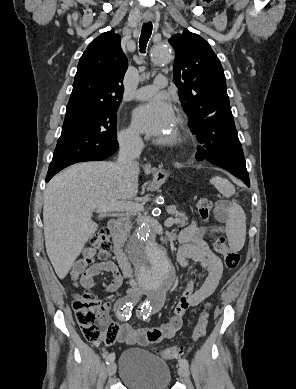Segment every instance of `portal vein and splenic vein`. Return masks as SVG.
<instances>
[{
    "instance_id": "portal-vein-and-splenic-vein-1",
    "label": "portal vein and splenic vein",
    "mask_w": 296,
    "mask_h": 389,
    "mask_svg": "<svg viewBox=\"0 0 296 389\" xmlns=\"http://www.w3.org/2000/svg\"><path fill=\"white\" fill-rule=\"evenodd\" d=\"M143 205L138 202H132V201H115L111 202L110 204L103 206L102 208H99L96 210L97 213L103 214L107 212H121V211H142ZM174 223L173 218H168L164 225L166 227H171Z\"/></svg>"
}]
</instances>
